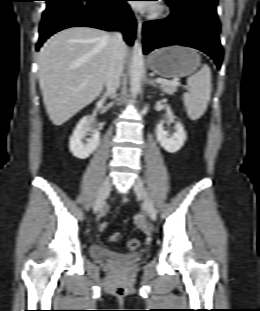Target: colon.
<instances>
[{
	"mask_svg": "<svg viewBox=\"0 0 260 311\" xmlns=\"http://www.w3.org/2000/svg\"><path fill=\"white\" fill-rule=\"evenodd\" d=\"M107 228H108V223H107V222H102L101 225H100V229H101L102 231H104V230H106ZM120 238H121V235H120L119 233H114V234H112V235L110 236L109 240H110L111 242H117V241L120 240ZM139 246H140V242H139L138 239L133 238V239H130V240L127 242V247H128V249L131 250V251L137 250V249L139 248Z\"/></svg>",
	"mask_w": 260,
	"mask_h": 311,
	"instance_id": "obj_1",
	"label": "colon"
}]
</instances>
